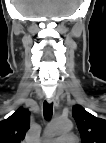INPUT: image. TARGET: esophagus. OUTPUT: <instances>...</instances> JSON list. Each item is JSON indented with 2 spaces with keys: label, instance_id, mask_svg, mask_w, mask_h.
<instances>
[{
  "label": "esophagus",
  "instance_id": "1",
  "mask_svg": "<svg viewBox=\"0 0 106 143\" xmlns=\"http://www.w3.org/2000/svg\"><path fill=\"white\" fill-rule=\"evenodd\" d=\"M48 102H49V103H53V105H54L55 108H58V106H59V100H58V98L55 97V96L49 97V98H48Z\"/></svg>",
  "mask_w": 106,
  "mask_h": 143
}]
</instances>
